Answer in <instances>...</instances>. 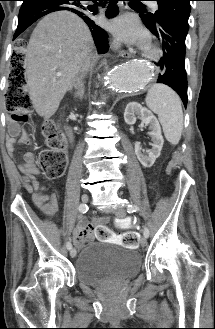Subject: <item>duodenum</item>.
<instances>
[{
  "mask_svg": "<svg viewBox=\"0 0 215 329\" xmlns=\"http://www.w3.org/2000/svg\"><path fill=\"white\" fill-rule=\"evenodd\" d=\"M68 134L71 136V130L70 129H68Z\"/></svg>",
  "mask_w": 215,
  "mask_h": 329,
  "instance_id": "obj_1",
  "label": "duodenum"
}]
</instances>
